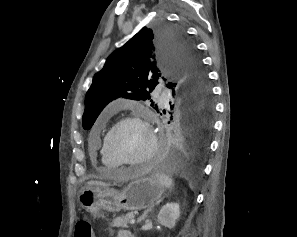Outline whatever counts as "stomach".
Instances as JSON below:
<instances>
[{
    "label": "stomach",
    "mask_w": 297,
    "mask_h": 237,
    "mask_svg": "<svg viewBox=\"0 0 297 237\" xmlns=\"http://www.w3.org/2000/svg\"><path fill=\"white\" fill-rule=\"evenodd\" d=\"M158 176L141 177L131 181L121 191L100 186H86L78 196L86 211L96 214L101 209L109 212L140 210L153 207L166 190Z\"/></svg>",
    "instance_id": "obj_1"
}]
</instances>
